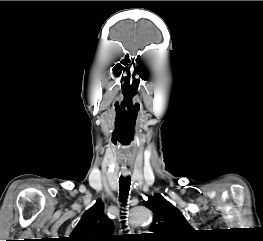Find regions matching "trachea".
Returning <instances> with one entry per match:
<instances>
[{"instance_id":"3493384b","label":"trachea","mask_w":263,"mask_h":241,"mask_svg":"<svg viewBox=\"0 0 263 241\" xmlns=\"http://www.w3.org/2000/svg\"><path fill=\"white\" fill-rule=\"evenodd\" d=\"M130 185H131L130 176H127V177L121 176L119 178V198H120V202L122 203L124 207L126 206V203H127V199H128V195L130 191ZM124 218L125 217L123 216L122 219ZM122 222L124 223L125 221H122Z\"/></svg>"}]
</instances>
